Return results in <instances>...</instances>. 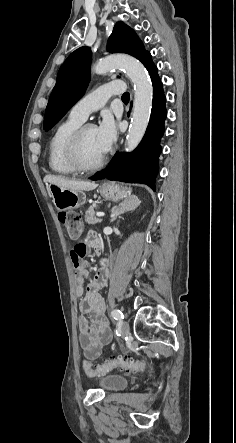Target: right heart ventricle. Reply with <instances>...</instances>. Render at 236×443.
<instances>
[{
	"label": "right heart ventricle",
	"mask_w": 236,
	"mask_h": 443,
	"mask_svg": "<svg viewBox=\"0 0 236 443\" xmlns=\"http://www.w3.org/2000/svg\"><path fill=\"white\" fill-rule=\"evenodd\" d=\"M83 121L69 116L53 132L48 146V164L50 169L61 175H71L76 171L69 165L65 155V147L72 133Z\"/></svg>",
	"instance_id": "1"
}]
</instances>
